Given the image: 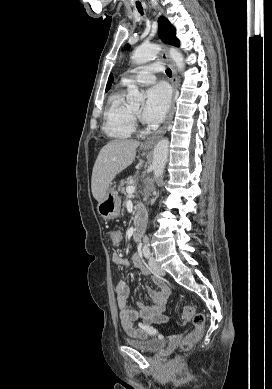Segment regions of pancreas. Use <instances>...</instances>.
I'll use <instances>...</instances> for the list:
<instances>
[{"instance_id": "obj_1", "label": "pancreas", "mask_w": 272, "mask_h": 389, "mask_svg": "<svg viewBox=\"0 0 272 389\" xmlns=\"http://www.w3.org/2000/svg\"><path fill=\"white\" fill-rule=\"evenodd\" d=\"M136 181L134 179V177L132 176H129L126 180H123L120 185H119V191L123 194H125V185H131V184H135Z\"/></svg>"}]
</instances>
